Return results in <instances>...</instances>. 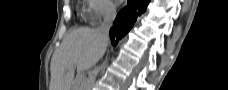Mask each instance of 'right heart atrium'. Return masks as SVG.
I'll return each mask as SVG.
<instances>
[{
	"label": "right heart atrium",
	"mask_w": 228,
	"mask_h": 90,
	"mask_svg": "<svg viewBox=\"0 0 228 90\" xmlns=\"http://www.w3.org/2000/svg\"><path fill=\"white\" fill-rule=\"evenodd\" d=\"M89 15L93 22L109 18L115 13V6L110 0H88Z\"/></svg>",
	"instance_id": "1"
}]
</instances>
